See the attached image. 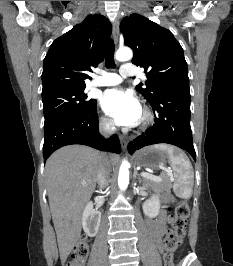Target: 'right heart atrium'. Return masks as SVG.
Masks as SVG:
<instances>
[{
    "label": "right heart atrium",
    "instance_id": "1",
    "mask_svg": "<svg viewBox=\"0 0 233 266\" xmlns=\"http://www.w3.org/2000/svg\"><path fill=\"white\" fill-rule=\"evenodd\" d=\"M100 127L104 132H112L115 129L113 121L106 116L100 118Z\"/></svg>",
    "mask_w": 233,
    "mask_h": 266
}]
</instances>
